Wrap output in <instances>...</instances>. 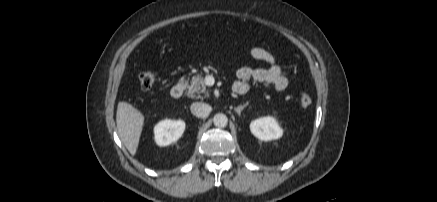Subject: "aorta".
Returning a JSON list of instances; mask_svg holds the SVG:
<instances>
[{
  "label": "aorta",
  "instance_id": "762f6f07",
  "mask_svg": "<svg viewBox=\"0 0 437 202\" xmlns=\"http://www.w3.org/2000/svg\"><path fill=\"white\" fill-rule=\"evenodd\" d=\"M214 125L219 128H224L227 126L228 118L223 113H218L213 118Z\"/></svg>",
  "mask_w": 437,
  "mask_h": 202
}]
</instances>
